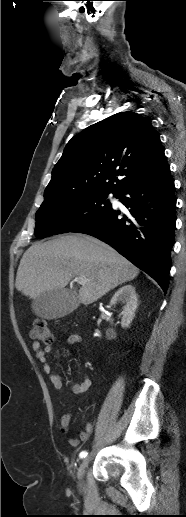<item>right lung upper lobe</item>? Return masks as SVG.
I'll return each mask as SVG.
<instances>
[{
    "label": "right lung upper lobe",
    "instance_id": "1",
    "mask_svg": "<svg viewBox=\"0 0 186 517\" xmlns=\"http://www.w3.org/2000/svg\"><path fill=\"white\" fill-rule=\"evenodd\" d=\"M167 166L159 134L150 120L134 112H120L87 127L67 143L52 170L44 202L85 191L118 194Z\"/></svg>",
    "mask_w": 186,
    "mask_h": 517
}]
</instances>
